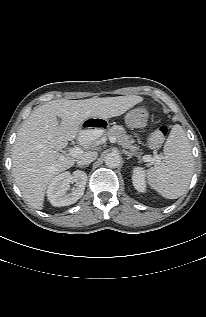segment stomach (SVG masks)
Segmentation results:
<instances>
[{
  "instance_id": "1",
  "label": "stomach",
  "mask_w": 206,
  "mask_h": 317,
  "mask_svg": "<svg viewBox=\"0 0 206 317\" xmlns=\"http://www.w3.org/2000/svg\"><path fill=\"white\" fill-rule=\"evenodd\" d=\"M82 129L77 132L76 140L80 146L88 147L99 139L106 138L116 127V122L111 117L93 116L85 120Z\"/></svg>"
}]
</instances>
